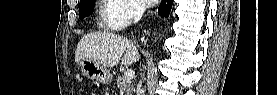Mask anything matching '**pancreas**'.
<instances>
[{
    "label": "pancreas",
    "mask_w": 277,
    "mask_h": 95,
    "mask_svg": "<svg viewBox=\"0 0 277 95\" xmlns=\"http://www.w3.org/2000/svg\"><path fill=\"white\" fill-rule=\"evenodd\" d=\"M117 87L120 89L122 94L132 95L133 87L128 79L124 76H119L117 79Z\"/></svg>",
    "instance_id": "obj_1"
}]
</instances>
